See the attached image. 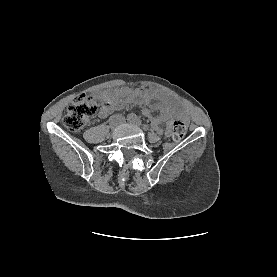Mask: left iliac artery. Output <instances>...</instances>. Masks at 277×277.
I'll use <instances>...</instances> for the list:
<instances>
[{"instance_id": "44dca946", "label": "left iliac artery", "mask_w": 277, "mask_h": 277, "mask_svg": "<svg viewBox=\"0 0 277 277\" xmlns=\"http://www.w3.org/2000/svg\"><path fill=\"white\" fill-rule=\"evenodd\" d=\"M134 123L138 126L142 125L141 121L137 118L134 120Z\"/></svg>"}]
</instances>
